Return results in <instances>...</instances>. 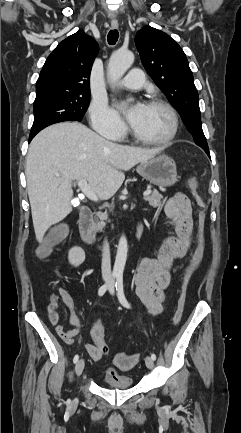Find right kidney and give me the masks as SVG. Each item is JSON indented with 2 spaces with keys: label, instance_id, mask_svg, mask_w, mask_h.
I'll return each mask as SVG.
<instances>
[{
  "label": "right kidney",
  "instance_id": "1",
  "mask_svg": "<svg viewBox=\"0 0 241 433\" xmlns=\"http://www.w3.org/2000/svg\"><path fill=\"white\" fill-rule=\"evenodd\" d=\"M69 263L75 267L80 266L85 260V252L81 247H73L68 253Z\"/></svg>",
  "mask_w": 241,
  "mask_h": 433
}]
</instances>
